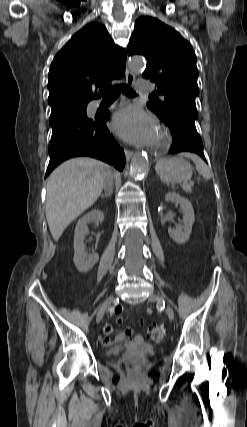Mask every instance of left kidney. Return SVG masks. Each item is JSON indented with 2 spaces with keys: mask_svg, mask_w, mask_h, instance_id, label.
<instances>
[{
  "mask_svg": "<svg viewBox=\"0 0 247 427\" xmlns=\"http://www.w3.org/2000/svg\"><path fill=\"white\" fill-rule=\"evenodd\" d=\"M165 200L180 204L181 210L183 211V224L176 229L169 228L168 233L177 244H184L189 240L195 220L192 204L188 199L174 192L166 194Z\"/></svg>",
  "mask_w": 247,
  "mask_h": 427,
  "instance_id": "obj_1",
  "label": "left kidney"
}]
</instances>
